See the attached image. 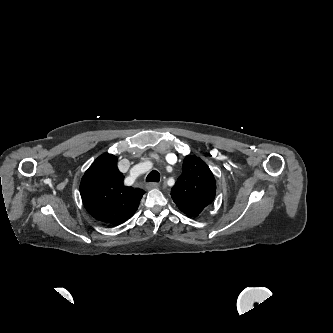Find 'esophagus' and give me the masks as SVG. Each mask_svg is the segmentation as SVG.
I'll list each match as a JSON object with an SVG mask.
<instances>
[{
  "instance_id": "34e87169",
  "label": "esophagus",
  "mask_w": 333,
  "mask_h": 333,
  "mask_svg": "<svg viewBox=\"0 0 333 333\" xmlns=\"http://www.w3.org/2000/svg\"><path fill=\"white\" fill-rule=\"evenodd\" d=\"M158 187H159V184L156 183V182H150V183H148V184L146 185V188H147L148 190H150V189H154V188H158Z\"/></svg>"
}]
</instances>
